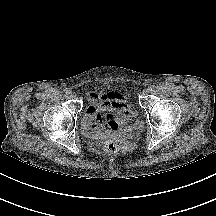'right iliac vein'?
<instances>
[{"mask_svg": "<svg viewBox=\"0 0 216 216\" xmlns=\"http://www.w3.org/2000/svg\"><path fill=\"white\" fill-rule=\"evenodd\" d=\"M69 96H70V98H75V97H76V93H75V92H71V93L69 94Z\"/></svg>", "mask_w": 216, "mask_h": 216, "instance_id": "63e3f726", "label": "right iliac vein"}]
</instances>
